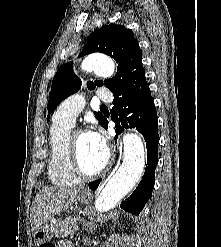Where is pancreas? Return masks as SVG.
I'll return each instance as SVG.
<instances>
[{"instance_id": "cf45deb5", "label": "pancreas", "mask_w": 221, "mask_h": 247, "mask_svg": "<svg viewBox=\"0 0 221 247\" xmlns=\"http://www.w3.org/2000/svg\"><path fill=\"white\" fill-rule=\"evenodd\" d=\"M78 230V225L75 218H66L59 220L53 225V231L57 237H68L74 235Z\"/></svg>"}]
</instances>
